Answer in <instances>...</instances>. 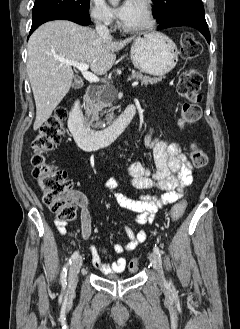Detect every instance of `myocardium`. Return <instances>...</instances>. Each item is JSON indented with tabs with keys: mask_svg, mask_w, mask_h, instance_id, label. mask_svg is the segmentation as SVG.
Wrapping results in <instances>:
<instances>
[{
	"mask_svg": "<svg viewBox=\"0 0 240 329\" xmlns=\"http://www.w3.org/2000/svg\"><path fill=\"white\" fill-rule=\"evenodd\" d=\"M144 8L145 11V21L140 25L129 26L124 24L123 22L120 23V27L122 30L131 33H138L142 31H146L151 29L155 24V15L151 0H138Z\"/></svg>",
	"mask_w": 240,
	"mask_h": 329,
	"instance_id": "obj_1",
	"label": "myocardium"
}]
</instances>
